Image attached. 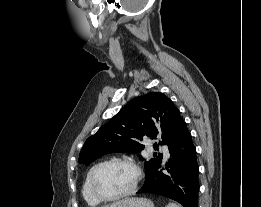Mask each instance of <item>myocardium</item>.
<instances>
[{
	"instance_id": "1",
	"label": "myocardium",
	"mask_w": 261,
	"mask_h": 207,
	"mask_svg": "<svg viewBox=\"0 0 261 207\" xmlns=\"http://www.w3.org/2000/svg\"><path fill=\"white\" fill-rule=\"evenodd\" d=\"M111 164H124V165L131 167L134 170L135 178H134V182H133L132 186L125 192L120 193L118 195H114V196H104L103 194L100 193V191L97 188V184H96L97 176L104 167L111 165ZM141 177H142L141 170L134 161L127 159V158H112V159H108V160H105V161L99 163L94 168V170L91 173V177H90V189H91V192L94 195V197L97 198L100 202L117 201V200H120V199H123V198H126V197L132 195L137 190Z\"/></svg>"
}]
</instances>
